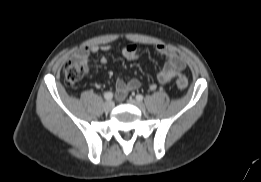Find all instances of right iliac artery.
<instances>
[{
    "label": "right iliac artery",
    "instance_id": "right-iliac-artery-1",
    "mask_svg": "<svg viewBox=\"0 0 261 182\" xmlns=\"http://www.w3.org/2000/svg\"><path fill=\"white\" fill-rule=\"evenodd\" d=\"M104 98H105L106 100H111V99L113 98V93L110 92V91L106 92V93L104 94Z\"/></svg>",
    "mask_w": 261,
    "mask_h": 182
}]
</instances>
